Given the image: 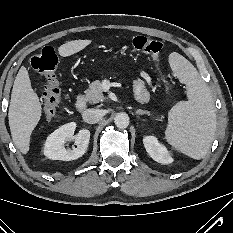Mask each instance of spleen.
<instances>
[{
	"instance_id": "1",
	"label": "spleen",
	"mask_w": 233,
	"mask_h": 233,
	"mask_svg": "<svg viewBox=\"0 0 233 233\" xmlns=\"http://www.w3.org/2000/svg\"><path fill=\"white\" fill-rule=\"evenodd\" d=\"M172 70L186 85L188 101L178 102L169 112L165 140L181 153L199 160L211 147L216 132V109L207 84L182 55L169 57Z\"/></svg>"
}]
</instances>
